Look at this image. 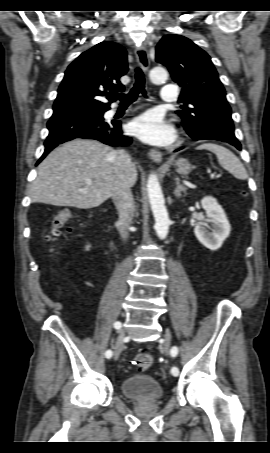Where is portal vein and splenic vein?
Here are the masks:
<instances>
[{"instance_id": "obj_1", "label": "portal vein and splenic vein", "mask_w": 270, "mask_h": 453, "mask_svg": "<svg viewBox=\"0 0 270 453\" xmlns=\"http://www.w3.org/2000/svg\"><path fill=\"white\" fill-rule=\"evenodd\" d=\"M219 176H220V175H216L215 173H212V174H211V177H212V178L219 177ZM86 183H87V184H91V183H92V180L87 179V180H86Z\"/></svg>"}]
</instances>
